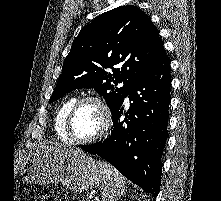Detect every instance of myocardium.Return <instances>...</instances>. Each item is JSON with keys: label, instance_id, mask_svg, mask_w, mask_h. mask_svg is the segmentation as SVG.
<instances>
[{"label": "myocardium", "instance_id": "f54148a6", "mask_svg": "<svg viewBox=\"0 0 221 201\" xmlns=\"http://www.w3.org/2000/svg\"><path fill=\"white\" fill-rule=\"evenodd\" d=\"M86 102H93L100 109L101 114H102V127L100 131L91 138L77 139L75 138L72 132V122H73V118L77 110L80 108L81 105H83ZM111 120H112V114H111V110L107 102L98 95H94V94L86 95L77 99L72 105V107L70 108L67 118H66V124H65L66 133L69 139L71 140V142L74 144H77V145L91 144L102 139L107 134L111 126Z\"/></svg>", "mask_w": 221, "mask_h": 201}]
</instances>
